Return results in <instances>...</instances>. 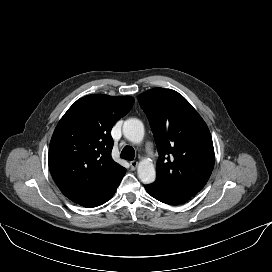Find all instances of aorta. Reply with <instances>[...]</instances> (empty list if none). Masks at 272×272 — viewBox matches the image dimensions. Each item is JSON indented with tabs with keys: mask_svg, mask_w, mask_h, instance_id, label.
Here are the masks:
<instances>
[{
	"mask_svg": "<svg viewBox=\"0 0 272 272\" xmlns=\"http://www.w3.org/2000/svg\"><path fill=\"white\" fill-rule=\"evenodd\" d=\"M123 134L129 141L140 143L144 138V125L136 118L127 119L123 126ZM137 172L142 183L151 184L155 181L156 172L150 160H142L138 165Z\"/></svg>",
	"mask_w": 272,
	"mask_h": 272,
	"instance_id": "762f6f07",
	"label": "aorta"
}]
</instances>
